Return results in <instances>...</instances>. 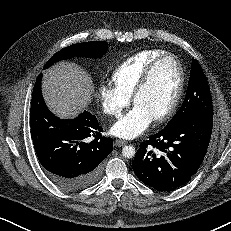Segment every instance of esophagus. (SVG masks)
Masks as SVG:
<instances>
[{
  "mask_svg": "<svg viewBox=\"0 0 231 231\" xmlns=\"http://www.w3.org/2000/svg\"><path fill=\"white\" fill-rule=\"evenodd\" d=\"M126 144H127V142L124 141V140H121V139H117V140L115 141V143H114V145H115L116 147H123V146H125Z\"/></svg>",
  "mask_w": 231,
  "mask_h": 231,
  "instance_id": "esophagus-1",
  "label": "esophagus"
}]
</instances>
